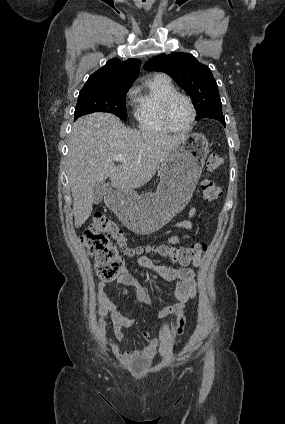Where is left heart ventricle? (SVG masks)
<instances>
[{"label": "left heart ventricle", "mask_w": 285, "mask_h": 424, "mask_svg": "<svg viewBox=\"0 0 285 424\" xmlns=\"http://www.w3.org/2000/svg\"><path fill=\"white\" fill-rule=\"evenodd\" d=\"M168 117L174 127H186L191 118V109L187 101L183 98L175 99L170 105Z\"/></svg>", "instance_id": "1"}]
</instances>
